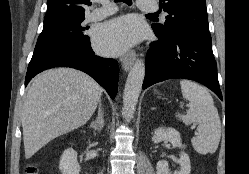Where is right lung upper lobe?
I'll list each match as a JSON object with an SVG mask.
<instances>
[{"label":"right lung upper lobe","mask_w":249,"mask_h":174,"mask_svg":"<svg viewBox=\"0 0 249 174\" xmlns=\"http://www.w3.org/2000/svg\"><path fill=\"white\" fill-rule=\"evenodd\" d=\"M90 0H47V13L44 26L84 17Z\"/></svg>","instance_id":"obj_1"}]
</instances>
